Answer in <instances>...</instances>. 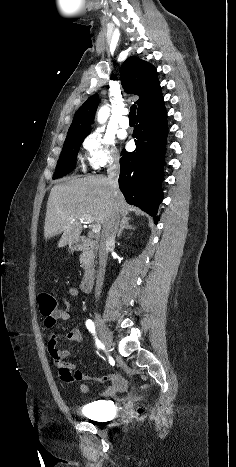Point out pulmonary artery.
<instances>
[{
    "label": "pulmonary artery",
    "mask_w": 236,
    "mask_h": 467,
    "mask_svg": "<svg viewBox=\"0 0 236 467\" xmlns=\"http://www.w3.org/2000/svg\"><path fill=\"white\" fill-rule=\"evenodd\" d=\"M119 124H120V126L122 128H128L130 126V121H129L128 117H127V111L126 110L123 112V115H122V117H121V119L119 121Z\"/></svg>",
    "instance_id": "obj_1"
}]
</instances>
